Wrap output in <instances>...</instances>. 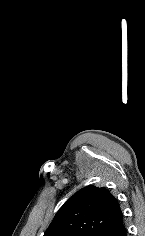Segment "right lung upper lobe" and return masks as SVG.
Instances as JSON below:
<instances>
[{"instance_id":"1","label":"right lung upper lobe","mask_w":145,"mask_h":236,"mask_svg":"<svg viewBox=\"0 0 145 236\" xmlns=\"http://www.w3.org/2000/svg\"><path fill=\"white\" fill-rule=\"evenodd\" d=\"M122 217L115 197L104 187L90 185L63 204L44 236H98Z\"/></svg>"}]
</instances>
